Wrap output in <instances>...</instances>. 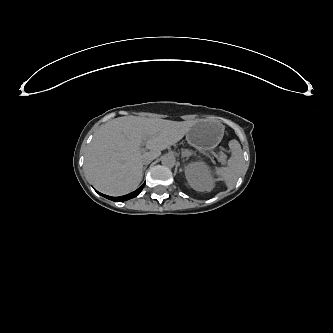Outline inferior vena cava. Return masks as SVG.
Returning <instances> with one entry per match:
<instances>
[{
    "mask_svg": "<svg viewBox=\"0 0 333 333\" xmlns=\"http://www.w3.org/2000/svg\"><path fill=\"white\" fill-rule=\"evenodd\" d=\"M152 160H153L152 158H145V159H143L142 164L143 165H148L152 162Z\"/></svg>",
    "mask_w": 333,
    "mask_h": 333,
    "instance_id": "inferior-vena-cava-1",
    "label": "inferior vena cava"
}]
</instances>
